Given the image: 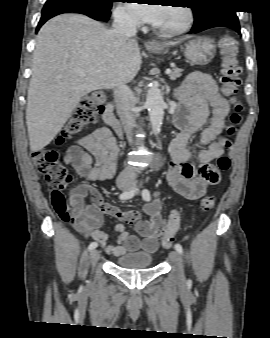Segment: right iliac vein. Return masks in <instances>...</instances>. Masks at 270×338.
I'll use <instances>...</instances> for the list:
<instances>
[{"mask_svg": "<svg viewBox=\"0 0 270 338\" xmlns=\"http://www.w3.org/2000/svg\"><path fill=\"white\" fill-rule=\"evenodd\" d=\"M130 188L131 187L128 184H121V185H119V189H121L122 191H127ZM98 258H99V252L97 250H92L91 253H90V262H91V265L93 267L97 263Z\"/></svg>", "mask_w": 270, "mask_h": 338, "instance_id": "1", "label": "right iliac vein"}]
</instances>
